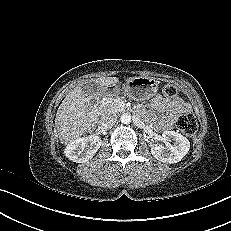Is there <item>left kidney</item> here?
<instances>
[{
  "mask_svg": "<svg viewBox=\"0 0 231 231\" xmlns=\"http://www.w3.org/2000/svg\"><path fill=\"white\" fill-rule=\"evenodd\" d=\"M162 140L165 145H153L151 153L163 163L180 162L190 149L189 140L175 131L163 132ZM170 142H173V144Z\"/></svg>",
  "mask_w": 231,
  "mask_h": 231,
  "instance_id": "left-kidney-1",
  "label": "left kidney"
}]
</instances>
